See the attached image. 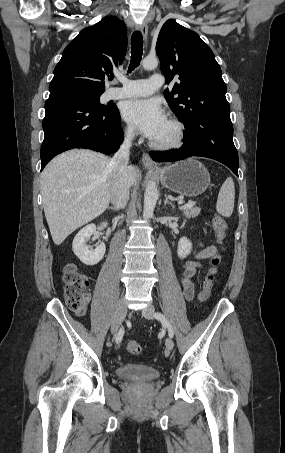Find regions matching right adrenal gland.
Instances as JSON below:
<instances>
[{"mask_svg":"<svg viewBox=\"0 0 285 453\" xmlns=\"http://www.w3.org/2000/svg\"><path fill=\"white\" fill-rule=\"evenodd\" d=\"M107 209L108 210H113V211L117 210L115 207H108Z\"/></svg>","mask_w":285,"mask_h":453,"instance_id":"right-adrenal-gland-1","label":"right adrenal gland"}]
</instances>
